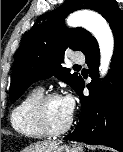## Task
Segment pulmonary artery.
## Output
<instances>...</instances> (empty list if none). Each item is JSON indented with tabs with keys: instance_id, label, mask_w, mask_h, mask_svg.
Listing matches in <instances>:
<instances>
[{
	"instance_id": "1",
	"label": "pulmonary artery",
	"mask_w": 123,
	"mask_h": 152,
	"mask_svg": "<svg viewBox=\"0 0 123 152\" xmlns=\"http://www.w3.org/2000/svg\"><path fill=\"white\" fill-rule=\"evenodd\" d=\"M72 61L74 63H83L84 62V56L81 54H75L72 56Z\"/></svg>"
}]
</instances>
